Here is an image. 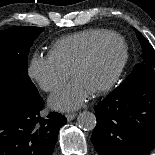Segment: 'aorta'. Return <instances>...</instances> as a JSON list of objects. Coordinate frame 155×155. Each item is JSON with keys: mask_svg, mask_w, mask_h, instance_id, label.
<instances>
[{"mask_svg": "<svg viewBox=\"0 0 155 155\" xmlns=\"http://www.w3.org/2000/svg\"><path fill=\"white\" fill-rule=\"evenodd\" d=\"M96 117L92 112L83 111L77 117L78 126L85 131H92L96 127Z\"/></svg>", "mask_w": 155, "mask_h": 155, "instance_id": "aorta-1", "label": "aorta"}]
</instances>
